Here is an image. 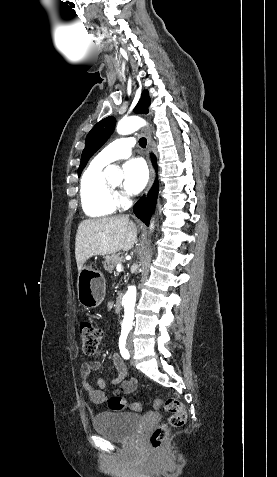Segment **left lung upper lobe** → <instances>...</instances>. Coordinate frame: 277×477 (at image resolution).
<instances>
[{
  "label": "left lung upper lobe",
  "instance_id": "1",
  "mask_svg": "<svg viewBox=\"0 0 277 477\" xmlns=\"http://www.w3.org/2000/svg\"><path fill=\"white\" fill-rule=\"evenodd\" d=\"M150 97L148 91L142 93L141 99L138 105L135 107L137 113H148V107L150 105ZM115 118L107 117L98 122L86 137L85 148L81 155V163L78 168V176H80L82 170L86 166L90 157L106 142L111 135L114 126Z\"/></svg>",
  "mask_w": 277,
  "mask_h": 477
}]
</instances>
